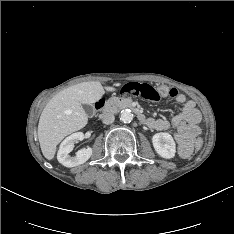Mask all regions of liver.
Segmentation results:
<instances>
[{
    "instance_id": "6515ba94",
    "label": "liver",
    "mask_w": 234,
    "mask_h": 234,
    "mask_svg": "<svg viewBox=\"0 0 234 234\" xmlns=\"http://www.w3.org/2000/svg\"><path fill=\"white\" fill-rule=\"evenodd\" d=\"M105 90L100 82L90 81L73 85L55 95L43 109L38 124V139L44 157L54 158L57 145L72 132L88 123V116L82 105L98 101Z\"/></svg>"
}]
</instances>
